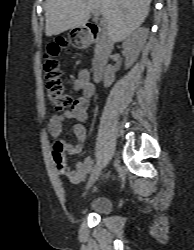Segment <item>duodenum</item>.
I'll use <instances>...</instances> for the list:
<instances>
[{"label":"duodenum","mask_w":194,"mask_h":250,"mask_svg":"<svg viewBox=\"0 0 194 250\" xmlns=\"http://www.w3.org/2000/svg\"><path fill=\"white\" fill-rule=\"evenodd\" d=\"M81 37L97 46L92 67L93 78L98 81L104 73L108 57L112 51V43L103 28L95 23H87L85 25V34H82Z\"/></svg>","instance_id":"410a0bca"}]
</instances>
